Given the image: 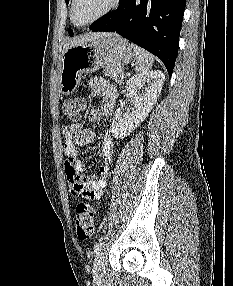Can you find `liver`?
Returning a JSON list of instances; mask_svg holds the SVG:
<instances>
[{
	"mask_svg": "<svg viewBox=\"0 0 233 286\" xmlns=\"http://www.w3.org/2000/svg\"><path fill=\"white\" fill-rule=\"evenodd\" d=\"M107 34H109V33H91L89 35H85L83 37L74 39V40L70 41V43L68 45L65 46L64 51H66L70 47H73V46H76V45H79V44H83L85 42L94 40V39H96L98 37H101V36L107 35Z\"/></svg>",
	"mask_w": 233,
	"mask_h": 286,
	"instance_id": "1",
	"label": "liver"
}]
</instances>
